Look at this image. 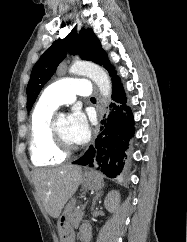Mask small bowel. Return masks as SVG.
Segmentation results:
<instances>
[{"mask_svg": "<svg viewBox=\"0 0 187 242\" xmlns=\"http://www.w3.org/2000/svg\"><path fill=\"white\" fill-rule=\"evenodd\" d=\"M81 235L84 236H90L91 235V229L88 225H83L81 228Z\"/></svg>", "mask_w": 187, "mask_h": 242, "instance_id": "1", "label": "small bowel"}]
</instances>
